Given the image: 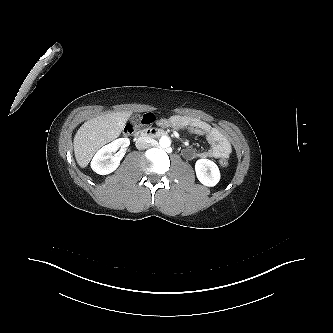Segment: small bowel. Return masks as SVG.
I'll return each instance as SVG.
<instances>
[{"label":"small bowel","instance_id":"c3829d8e","mask_svg":"<svg viewBox=\"0 0 333 333\" xmlns=\"http://www.w3.org/2000/svg\"><path fill=\"white\" fill-rule=\"evenodd\" d=\"M157 125L160 127L191 130L207 138L210 144L209 149L201 151L193 148H185L182 154L186 159L221 158L231 153L232 147L225 134L204 120L182 115H172L169 118L157 120Z\"/></svg>","mask_w":333,"mask_h":333}]
</instances>
